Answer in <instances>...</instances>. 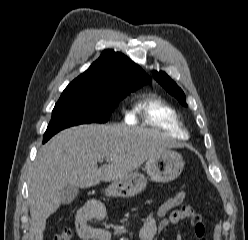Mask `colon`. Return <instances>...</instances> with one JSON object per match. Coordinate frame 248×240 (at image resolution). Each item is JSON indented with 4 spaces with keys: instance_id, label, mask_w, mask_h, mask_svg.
<instances>
[{
    "instance_id": "5ec220e1",
    "label": "colon",
    "mask_w": 248,
    "mask_h": 240,
    "mask_svg": "<svg viewBox=\"0 0 248 240\" xmlns=\"http://www.w3.org/2000/svg\"><path fill=\"white\" fill-rule=\"evenodd\" d=\"M185 199V192H179L173 196H170L162 203H160L154 211V215L158 218L166 216L169 212L177 209L182 205ZM72 237V231L68 227H62L55 235L53 240H70Z\"/></svg>"
}]
</instances>
